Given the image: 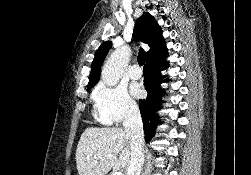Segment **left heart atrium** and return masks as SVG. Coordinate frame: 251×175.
Returning <instances> with one entry per match:
<instances>
[{"label": "left heart atrium", "instance_id": "obj_1", "mask_svg": "<svg viewBox=\"0 0 251 175\" xmlns=\"http://www.w3.org/2000/svg\"><path fill=\"white\" fill-rule=\"evenodd\" d=\"M131 90H132L133 94H135V95H139L142 92L141 89L137 85H132Z\"/></svg>", "mask_w": 251, "mask_h": 175}]
</instances>
